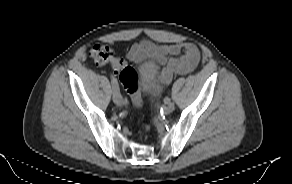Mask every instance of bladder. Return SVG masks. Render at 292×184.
<instances>
[{
	"label": "bladder",
	"instance_id": "bladder-1",
	"mask_svg": "<svg viewBox=\"0 0 292 184\" xmlns=\"http://www.w3.org/2000/svg\"><path fill=\"white\" fill-rule=\"evenodd\" d=\"M139 87L147 94H151L158 89V83L155 78V66L144 63L139 66Z\"/></svg>",
	"mask_w": 292,
	"mask_h": 184
}]
</instances>
